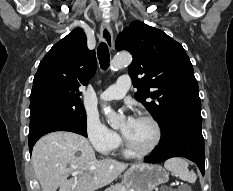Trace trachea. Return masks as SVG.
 I'll use <instances>...</instances> for the list:
<instances>
[{"label":"trachea","instance_id":"3493384b","mask_svg":"<svg viewBox=\"0 0 233 191\" xmlns=\"http://www.w3.org/2000/svg\"><path fill=\"white\" fill-rule=\"evenodd\" d=\"M97 55L99 59L100 66L103 70L109 67L110 55L106 43L101 42L97 49Z\"/></svg>","mask_w":233,"mask_h":191}]
</instances>
